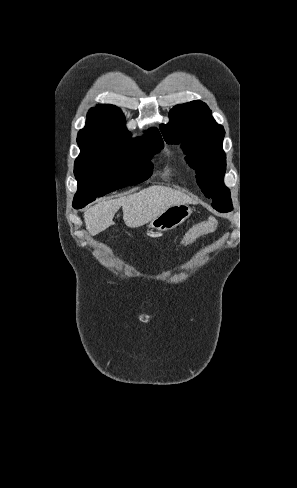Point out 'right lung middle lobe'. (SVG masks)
I'll return each instance as SVG.
<instances>
[{
	"label": "right lung middle lobe",
	"mask_w": 297,
	"mask_h": 488,
	"mask_svg": "<svg viewBox=\"0 0 297 488\" xmlns=\"http://www.w3.org/2000/svg\"><path fill=\"white\" fill-rule=\"evenodd\" d=\"M164 146L162 138L147 134L143 138L104 139L91 147H80L74 165L78 190L73 207L83 208L96 197L147 180L152 174L151 159Z\"/></svg>",
	"instance_id": "right-lung-middle-lobe-1"
}]
</instances>
